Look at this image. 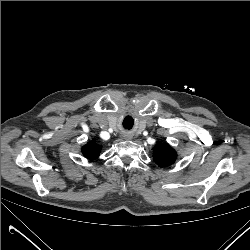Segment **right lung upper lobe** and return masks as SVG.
I'll return each instance as SVG.
<instances>
[{
    "instance_id": "1",
    "label": "right lung upper lobe",
    "mask_w": 250,
    "mask_h": 250,
    "mask_svg": "<svg viewBox=\"0 0 250 250\" xmlns=\"http://www.w3.org/2000/svg\"><path fill=\"white\" fill-rule=\"evenodd\" d=\"M101 149L102 147L93 140L82 147V153L86 158L96 159L99 156Z\"/></svg>"
}]
</instances>
